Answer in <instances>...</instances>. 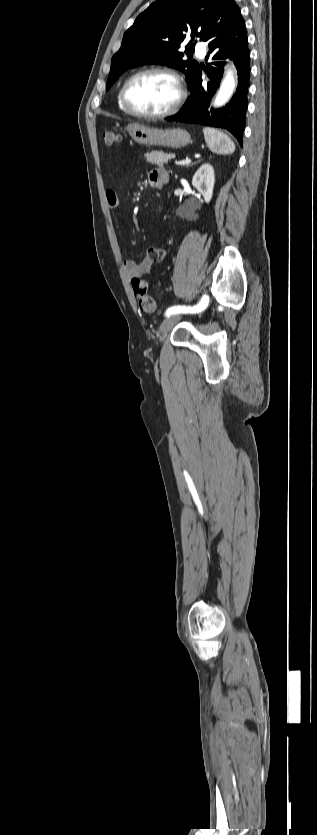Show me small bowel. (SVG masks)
Wrapping results in <instances>:
<instances>
[{
  "label": "small bowel",
  "instance_id": "1",
  "mask_svg": "<svg viewBox=\"0 0 317 835\" xmlns=\"http://www.w3.org/2000/svg\"><path fill=\"white\" fill-rule=\"evenodd\" d=\"M169 178V172L164 168L152 169L148 174L149 182L155 187H162L166 185L169 182ZM105 196L109 209L116 211L119 206V200L116 192L113 190H107ZM155 262L156 261L152 259L146 251L139 262L132 259H125L123 261V266L129 278H141L151 272Z\"/></svg>",
  "mask_w": 317,
  "mask_h": 835
}]
</instances>
